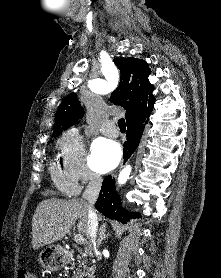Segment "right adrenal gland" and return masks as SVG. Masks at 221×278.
Segmentation results:
<instances>
[{
    "mask_svg": "<svg viewBox=\"0 0 221 278\" xmlns=\"http://www.w3.org/2000/svg\"><path fill=\"white\" fill-rule=\"evenodd\" d=\"M110 233H106V230L103 228L99 229V238H98V245H101L102 241L108 239Z\"/></svg>",
    "mask_w": 221,
    "mask_h": 278,
    "instance_id": "1",
    "label": "right adrenal gland"
}]
</instances>
